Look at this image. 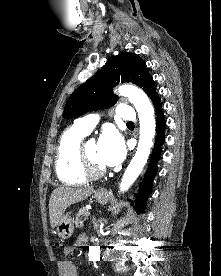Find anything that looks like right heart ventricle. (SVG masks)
Instances as JSON below:
<instances>
[{
	"mask_svg": "<svg viewBox=\"0 0 221 276\" xmlns=\"http://www.w3.org/2000/svg\"><path fill=\"white\" fill-rule=\"evenodd\" d=\"M85 133L76 127L67 129L60 137L56 151V173L66 184L79 185L87 181L83 171L79 148Z\"/></svg>",
	"mask_w": 221,
	"mask_h": 276,
	"instance_id": "e07e8e85",
	"label": "right heart ventricle"
}]
</instances>
